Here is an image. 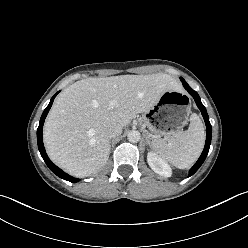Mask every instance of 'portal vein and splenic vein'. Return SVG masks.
<instances>
[{
    "label": "portal vein and splenic vein",
    "mask_w": 248,
    "mask_h": 248,
    "mask_svg": "<svg viewBox=\"0 0 248 248\" xmlns=\"http://www.w3.org/2000/svg\"><path fill=\"white\" fill-rule=\"evenodd\" d=\"M115 105H116L115 100L110 101L109 106H110L111 109H113Z\"/></svg>",
    "instance_id": "18ae733b"
}]
</instances>
